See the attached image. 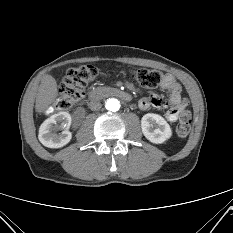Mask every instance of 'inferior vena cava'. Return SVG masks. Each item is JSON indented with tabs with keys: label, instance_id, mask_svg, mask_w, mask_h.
Wrapping results in <instances>:
<instances>
[{
	"label": "inferior vena cava",
	"instance_id": "1",
	"mask_svg": "<svg viewBox=\"0 0 233 233\" xmlns=\"http://www.w3.org/2000/svg\"><path fill=\"white\" fill-rule=\"evenodd\" d=\"M88 106L92 111H98L101 109L102 104L99 101L92 100L89 102Z\"/></svg>",
	"mask_w": 233,
	"mask_h": 233
}]
</instances>
